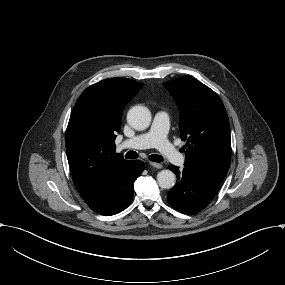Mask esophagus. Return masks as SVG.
Instances as JSON below:
<instances>
[{"label":"esophagus","instance_id":"esophagus-1","mask_svg":"<svg viewBox=\"0 0 285 285\" xmlns=\"http://www.w3.org/2000/svg\"><path fill=\"white\" fill-rule=\"evenodd\" d=\"M152 167L157 168V169H161L163 166L160 163H155V162H150L149 163Z\"/></svg>","mask_w":285,"mask_h":285}]
</instances>
